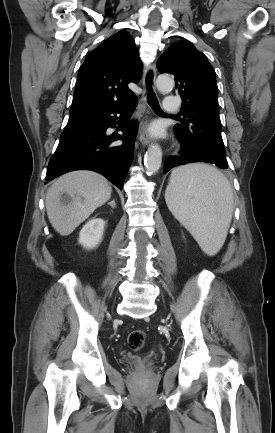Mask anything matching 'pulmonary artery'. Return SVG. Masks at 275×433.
I'll list each match as a JSON object with an SVG mask.
<instances>
[{
  "label": "pulmonary artery",
  "instance_id": "1",
  "mask_svg": "<svg viewBox=\"0 0 275 433\" xmlns=\"http://www.w3.org/2000/svg\"><path fill=\"white\" fill-rule=\"evenodd\" d=\"M162 109L165 113H176L179 110V101L175 96L168 95L164 98Z\"/></svg>",
  "mask_w": 275,
  "mask_h": 433
}]
</instances>
